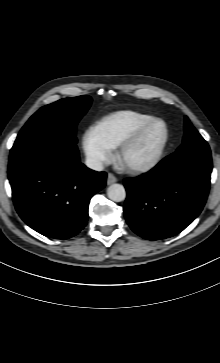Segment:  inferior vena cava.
I'll return each instance as SVG.
<instances>
[{
	"label": "inferior vena cava",
	"instance_id": "obj_1",
	"mask_svg": "<svg viewBox=\"0 0 220 363\" xmlns=\"http://www.w3.org/2000/svg\"><path fill=\"white\" fill-rule=\"evenodd\" d=\"M86 166L92 170H95V171H102L103 170V163L96 159V158H93V157H88L86 159Z\"/></svg>",
	"mask_w": 220,
	"mask_h": 363
}]
</instances>
